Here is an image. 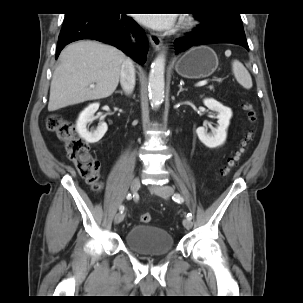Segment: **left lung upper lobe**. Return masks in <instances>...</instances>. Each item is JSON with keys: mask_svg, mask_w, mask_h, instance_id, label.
Listing matches in <instances>:
<instances>
[{"mask_svg": "<svg viewBox=\"0 0 303 303\" xmlns=\"http://www.w3.org/2000/svg\"><path fill=\"white\" fill-rule=\"evenodd\" d=\"M194 17L200 18L207 26H240L242 20L238 13L214 12L209 14H195Z\"/></svg>", "mask_w": 303, "mask_h": 303, "instance_id": "5c2ea615", "label": "left lung upper lobe"}]
</instances>
